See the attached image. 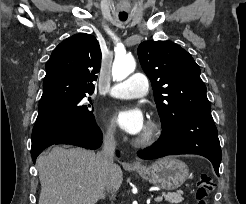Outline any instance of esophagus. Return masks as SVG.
I'll use <instances>...</instances> for the list:
<instances>
[{"label": "esophagus", "mask_w": 246, "mask_h": 204, "mask_svg": "<svg viewBox=\"0 0 246 204\" xmlns=\"http://www.w3.org/2000/svg\"><path fill=\"white\" fill-rule=\"evenodd\" d=\"M132 165H133V166H135V167H137V166H139V165H140V163H139V162H137V161H134V162L132 163Z\"/></svg>", "instance_id": "1"}]
</instances>
